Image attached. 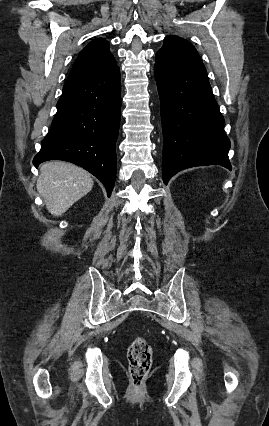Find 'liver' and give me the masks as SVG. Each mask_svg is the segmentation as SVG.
Masks as SVG:
<instances>
[{"instance_id":"1","label":"liver","mask_w":269,"mask_h":426,"mask_svg":"<svg viewBox=\"0 0 269 426\" xmlns=\"http://www.w3.org/2000/svg\"><path fill=\"white\" fill-rule=\"evenodd\" d=\"M93 184L91 175L81 167L50 161L41 165L36 187L48 211L54 216H61L89 193Z\"/></svg>"}]
</instances>
